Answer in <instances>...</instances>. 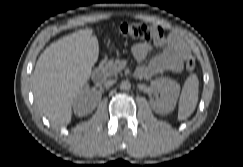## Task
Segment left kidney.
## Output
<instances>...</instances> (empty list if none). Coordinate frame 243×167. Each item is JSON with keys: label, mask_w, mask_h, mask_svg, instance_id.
I'll return each instance as SVG.
<instances>
[{"label": "left kidney", "mask_w": 243, "mask_h": 167, "mask_svg": "<svg viewBox=\"0 0 243 167\" xmlns=\"http://www.w3.org/2000/svg\"><path fill=\"white\" fill-rule=\"evenodd\" d=\"M151 88L161 94L158 100H150L151 108L160 114L173 111L180 92V85L169 78H160L151 82Z\"/></svg>", "instance_id": "1"}]
</instances>
